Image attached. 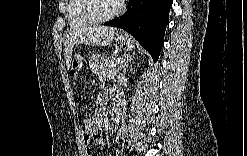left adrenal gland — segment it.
<instances>
[{"label": "left adrenal gland", "instance_id": "a2214340", "mask_svg": "<svg viewBox=\"0 0 247 156\" xmlns=\"http://www.w3.org/2000/svg\"><path fill=\"white\" fill-rule=\"evenodd\" d=\"M132 58L130 57L129 59H127V61H125V63L122 65V69H123V72L126 73V70L128 69L129 67V62H131Z\"/></svg>", "mask_w": 247, "mask_h": 156}]
</instances>
